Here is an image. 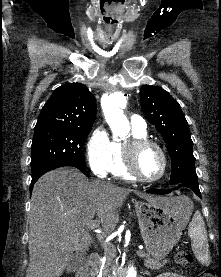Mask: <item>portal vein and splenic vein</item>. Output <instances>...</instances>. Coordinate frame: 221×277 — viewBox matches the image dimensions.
I'll use <instances>...</instances> for the list:
<instances>
[{"label": "portal vein and splenic vein", "mask_w": 221, "mask_h": 277, "mask_svg": "<svg viewBox=\"0 0 221 277\" xmlns=\"http://www.w3.org/2000/svg\"><path fill=\"white\" fill-rule=\"evenodd\" d=\"M99 224H100L99 220H93L92 222H90L89 228L95 229L99 226ZM98 240L102 243V245H105V241H104V238L102 235H100V234L98 235ZM138 252H140V251H138Z\"/></svg>", "instance_id": "1"}]
</instances>
